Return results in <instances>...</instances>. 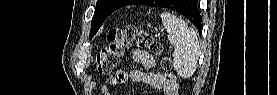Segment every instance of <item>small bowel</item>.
<instances>
[{
    "label": "small bowel",
    "mask_w": 277,
    "mask_h": 95,
    "mask_svg": "<svg viewBox=\"0 0 277 95\" xmlns=\"http://www.w3.org/2000/svg\"><path fill=\"white\" fill-rule=\"evenodd\" d=\"M133 61L142 66V70L136 71L131 75L120 70L107 79L110 86H116L126 82L129 78L133 81L156 86L161 89L162 95H176V80L172 77H167L162 81L160 75L154 71L155 60L153 56L145 50H134L132 52ZM111 92L107 85L101 87V95H110Z\"/></svg>",
    "instance_id": "small-bowel-1"
}]
</instances>
